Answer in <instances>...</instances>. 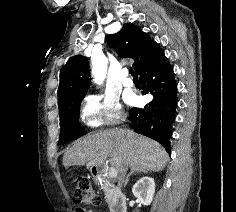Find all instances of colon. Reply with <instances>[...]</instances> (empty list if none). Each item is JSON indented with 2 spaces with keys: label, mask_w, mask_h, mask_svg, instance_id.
Returning <instances> with one entry per match:
<instances>
[{
  "label": "colon",
  "mask_w": 236,
  "mask_h": 212,
  "mask_svg": "<svg viewBox=\"0 0 236 212\" xmlns=\"http://www.w3.org/2000/svg\"><path fill=\"white\" fill-rule=\"evenodd\" d=\"M75 184L73 193V199L75 202L82 205H95L99 203V197L94 192L88 179L78 177L75 180Z\"/></svg>",
  "instance_id": "1"
}]
</instances>
